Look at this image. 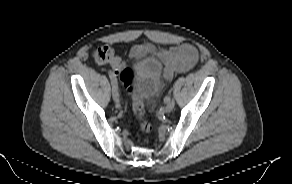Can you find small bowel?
<instances>
[{
    "instance_id": "c3829d8e",
    "label": "small bowel",
    "mask_w": 292,
    "mask_h": 184,
    "mask_svg": "<svg viewBox=\"0 0 292 184\" xmlns=\"http://www.w3.org/2000/svg\"><path fill=\"white\" fill-rule=\"evenodd\" d=\"M147 55H155L164 64L162 78L169 81L176 73L191 70L198 60L197 49L188 43L173 45L168 48H157L152 44H139L131 48L129 56L139 60ZM113 70L118 73L124 68V62L116 57L110 62Z\"/></svg>"
}]
</instances>
